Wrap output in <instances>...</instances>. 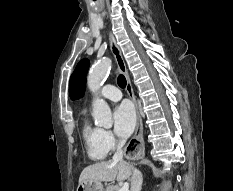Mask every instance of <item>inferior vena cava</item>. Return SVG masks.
<instances>
[{"label":"inferior vena cava","instance_id":"inferior-vena-cava-1","mask_svg":"<svg viewBox=\"0 0 233 191\" xmlns=\"http://www.w3.org/2000/svg\"><path fill=\"white\" fill-rule=\"evenodd\" d=\"M126 140L125 139H121L118 144H117V149L116 152L113 156V161L114 162H123V146L125 145ZM132 177H131V190L130 191H140L141 190V186H142V181H143V177H142V173L136 169L132 167Z\"/></svg>","mask_w":233,"mask_h":191}]
</instances>
